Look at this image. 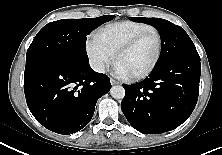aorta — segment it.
I'll list each match as a JSON object with an SVG mask.
<instances>
[{"instance_id":"obj_1","label":"aorta","mask_w":222,"mask_h":155,"mask_svg":"<svg viewBox=\"0 0 222 155\" xmlns=\"http://www.w3.org/2000/svg\"><path fill=\"white\" fill-rule=\"evenodd\" d=\"M110 94L114 99H123L125 97V89L123 86L116 85L111 88Z\"/></svg>"}]
</instances>
